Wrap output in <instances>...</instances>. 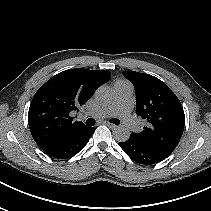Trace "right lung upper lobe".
<instances>
[{"instance_id":"obj_1","label":"right lung upper lobe","mask_w":211,"mask_h":211,"mask_svg":"<svg viewBox=\"0 0 211 211\" xmlns=\"http://www.w3.org/2000/svg\"><path fill=\"white\" fill-rule=\"evenodd\" d=\"M110 78L108 70L69 69L54 75L35 93L28 112L31 134L47 151L87 128L70 116Z\"/></svg>"}]
</instances>
